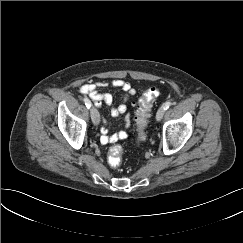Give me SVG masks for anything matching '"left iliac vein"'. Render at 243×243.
Segmentation results:
<instances>
[{
	"label": "left iliac vein",
	"mask_w": 243,
	"mask_h": 243,
	"mask_svg": "<svg viewBox=\"0 0 243 243\" xmlns=\"http://www.w3.org/2000/svg\"><path fill=\"white\" fill-rule=\"evenodd\" d=\"M164 113H165L164 107H160L156 113V120L160 121L163 118Z\"/></svg>",
	"instance_id": "4c4485c4"
}]
</instances>
